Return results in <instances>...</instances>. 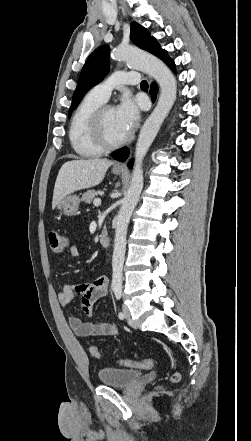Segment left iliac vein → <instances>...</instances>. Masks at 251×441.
<instances>
[{
	"label": "left iliac vein",
	"instance_id": "1",
	"mask_svg": "<svg viewBox=\"0 0 251 441\" xmlns=\"http://www.w3.org/2000/svg\"><path fill=\"white\" fill-rule=\"evenodd\" d=\"M123 313H124L125 318L129 322V324L132 325L133 327H135L134 322L131 320L130 311H129V309H128V307L126 305L123 306Z\"/></svg>",
	"mask_w": 251,
	"mask_h": 441
}]
</instances>
